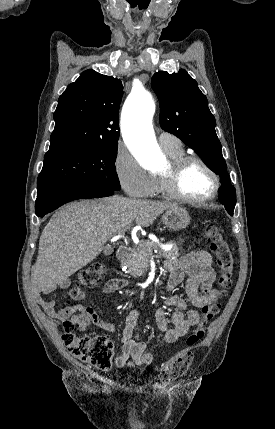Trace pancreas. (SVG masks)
Returning a JSON list of instances; mask_svg holds the SVG:
<instances>
[{
	"label": "pancreas",
	"instance_id": "1",
	"mask_svg": "<svg viewBox=\"0 0 275 429\" xmlns=\"http://www.w3.org/2000/svg\"><path fill=\"white\" fill-rule=\"evenodd\" d=\"M173 245L172 243H168ZM157 249L158 253L166 259L178 256L179 248L174 246L170 250H161L160 247L150 241H142L140 245L132 249L128 259L122 263L127 267V273H130L134 277L141 276L149 266V260L153 254V250Z\"/></svg>",
	"mask_w": 275,
	"mask_h": 429
}]
</instances>
